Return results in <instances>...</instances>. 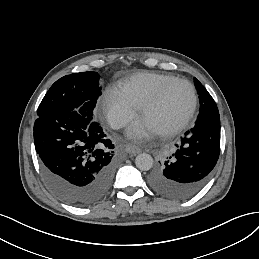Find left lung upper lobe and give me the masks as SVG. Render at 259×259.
<instances>
[{"label":"left lung upper lobe","instance_id":"left-lung-upper-lobe-1","mask_svg":"<svg viewBox=\"0 0 259 259\" xmlns=\"http://www.w3.org/2000/svg\"><path fill=\"white\" fill-rule=\"evenodd\" d=\"M194 83H195L197 92L199 94V101H200L199 111L202 112V111L217 108V105H216L214 99L211 97L209 92L204 88V86L196 78H194Z\"/></svg>","mask_w":259,"mask_h":259}]
</instances>
